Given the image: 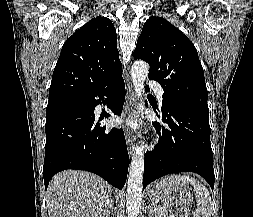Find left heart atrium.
I'll use <instances>...</instances> for the list:
<instances>
[{"label":"left heart atrium","instance_id":"39dd6f15","mask_svg":"<svg viewBox=\"0 0 253 217\" xmlns=\"http://www.w3.org/2000/svg\"><path fill=\"white\" fill-rule=\"evenodd\" d=\"M127 124L133 126L134 125V121L132 119H129V120H127Z\"/></svg>","mask_w":253,"mask_h":217}]
</instances>
